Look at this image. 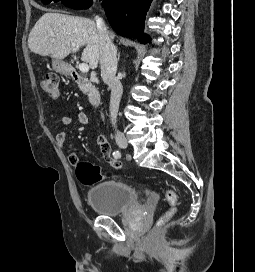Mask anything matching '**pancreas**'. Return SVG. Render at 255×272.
Instances as JSON below:
<instances>
[{
    "label": "pancreas",
    "mask_w": 255,
    "mask_h": 272,
    "mask_svg": "<svg viewBox=\"0 0 255 272\" xmlns=\"http://www.w3.org/2000/svg\"><path fill=\"white\" fill-rule=\"evenodd\" d=\"M79 88H80L81 91L86 92V89H85V87L83 85H79Z\"/></svg>",
    "instance_id": "pancreas-1"
}]
</instances>
